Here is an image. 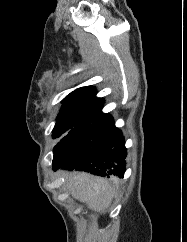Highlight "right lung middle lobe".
<instances>
[{"mask_svg": "<svg viewBox=\"0 0 187 242\" xmlns=\"http://www.w3.org/2000/svg\"><path fill=\"white\" fill-rule=\"evenodd\" d=\"M101 109L91 106L62 107L52 131L53 139L92 123L103 114Z\"/></svg>", "mask_w": 187, "mask_h": 242, "instance_id": "obj_1", "label": "right lung middle lobe"}]
</instances>
